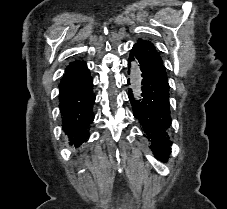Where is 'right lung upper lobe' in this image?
<instances>
[{
  "mask_svg": "<svg viewBox=\"0 0 227 209\" xmlns=\"http://www.w3.org/2000/svg\"><path fill=\"white\" fill-rule=\"evenodd\" d=\"M84 62H81V61H75V62H73L72 64L73 65H76V64H83Z\"/></svg>",
  "mask_w": 227,
  "mask_h": 209,
  "instance_id": "1",
  "label": "right lung upper lobe"
}]
</instances>
